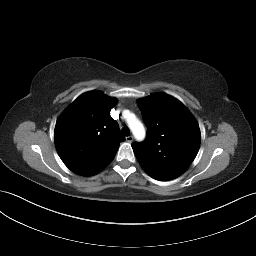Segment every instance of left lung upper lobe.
<instances>
[{
    "label": "left lung upper lobe",
    "instance_id": "left-lung-upper-lobe-1",
    "mask_svg": "<svg viewBox=\"0 0 256 256\" xmlns=\"http://www.w3.org/2000/svg\"><path fill=\"white\" fill-rule=\"evenodd\" d=\"M137 104L148 128L145 141L132 144L139 164L156 180L180 176L200 146L197 121L179 100L168 94H153L139 99Z\"/></svg>",
    "mask_w": 256,
    "mask_h": 256
}]
</instances>
